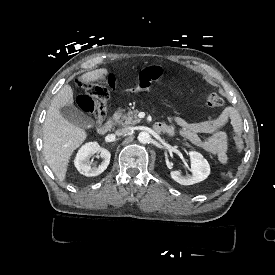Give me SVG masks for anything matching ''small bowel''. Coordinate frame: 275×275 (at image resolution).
I'll list each match as a JSON object with an SVG mask.
<instances>
[{
  "mask_svg": "<svg viewBox=\"0 0 275 275\" xmlns=\"http://www.w3.org/2000/svg\"><path fill=\"white\" fill-rule=\"evenodd\" d=\"M162 73L167 81L183 82L189 81L193 77V72L189 68H167L163 72L162 68L150 65L141 72L138 78V86H128V93L141 94L148 91L151 87V81L160 79ZM106 75L111 88L109 91L110 96L120 97L125 95L126 90L120 87L121 84L116 71L108 70ZM227 123L231 124L234 134H240L242 119L234 107H226L214 119L208 121L189 122L180 116H174L172 123L167 126L170 128L169 135H173L177 128L179 133L194 146L214 155L220 164H226L228 162L227 136L221 129ZM200 133H212V135L203 140L199 137Z\"/></svg>",
  "mask_w": 275,
  "mask_h": 275,
  "instance_id": "obj_1",
  "label": "small bowel"
}]
</instances>
